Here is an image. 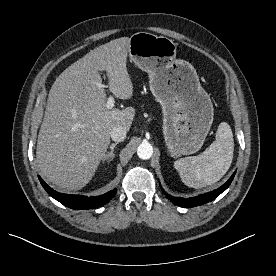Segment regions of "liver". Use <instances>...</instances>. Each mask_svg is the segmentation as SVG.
<instances>
[{
    "instance_id": "1",
    "label": "liver",
    "mask_w": 276,
    "mask_h": 276,
    "mask_svg": "<svg viewBox=\"0 0 276 276\" xmlns=\"http://www.w3.org/2000/svg\"><path fill=\"white\" fill-rule=\"evenodd\" d=\"M129 37L91 50L66 68L53 83L36 150L40 173L51 183L80 190L94 176L116 126L131 127L135 109H107L99 71L105 70L109 90L119 99L133 96L126 61Z\"/></svg>"
}]
</instances>
